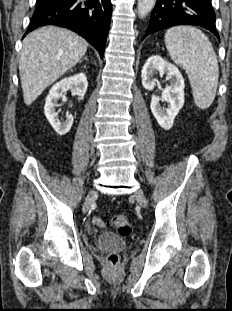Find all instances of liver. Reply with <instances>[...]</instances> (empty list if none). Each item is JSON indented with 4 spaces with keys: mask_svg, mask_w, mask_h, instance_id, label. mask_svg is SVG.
Listing matches in <instances>:
<instances>
[{
    "mask_svg": "<svg viewBox=\"0 0 232 311\" xmlns=\"http://www.w3.org/2000/svg\"><path fill=\"white\" fill-rule=\"evenodd\" d=\"M88 43L67 29L46 26L27 35L19 59L23 98L31 105L54 81L75 66Z\"/></svg>",
    "mask_w": 232,
    "mask_h": 311,
    "instance_id": "6515ba94",
    "label": "liver"
}]
</instances>
